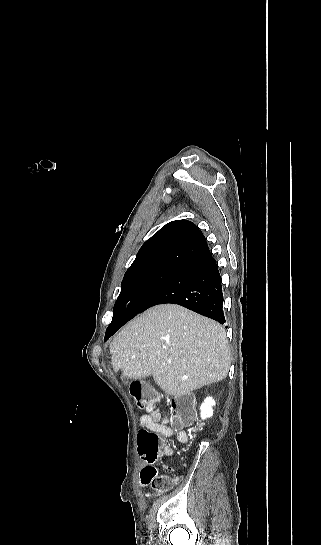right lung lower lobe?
I'll list each match as a JSON object with an SVG mask.
<instances>
[{"label": "right lung lower lobe", "instance_id": "right-lung-lower-lobe-1", "mask_svg": "<svg viewBox=\"0 0 321 545\" xmlns=\"http://www.w3.org/2000/svg\"><path fill=\"white\" fill-rule=\"evenodd\" d=\"M165 303L179 304L221 324L225 323L221 277L208 247L175 269L138 313ZM131 319L111 322L104 340Z\"/></svg>", "mask_w": 321, "mask_h": 545}]
</instances>
